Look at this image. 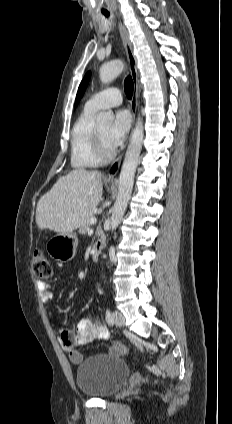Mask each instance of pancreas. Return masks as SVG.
<instances>
[{
    "mask_svg": "<svg viewBox=\"0 0 232 424\" xmlns=\"http://www.w3.org/2000/svg\"><path fill=\"white\" fill-rule=\"evenodd\" d=\"M94 218V215L92 214L80 227L79 232L81 234H85L87 232V230L89 229L91 223H90V219Z\"/></svg>",
    "mask_w": 232,
    "mask_h": 424,
    "instance_id": "cf45deb5",
    "label": "pancreas"
}]
</instances>
